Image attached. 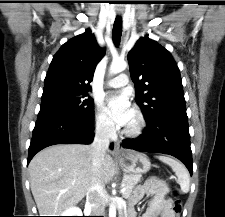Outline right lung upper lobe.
I'll use <instances>...</instances> for the list:
<instances>
[{
  "instance_id": "1",
  "label": "right lung upper lobe",
  "mask_w": 225,
  "mask_h": 217,
  "mask_svg": "<svg viewBox=\"0 0 225 217\" xmlns=\"http://www.w3.org/2000/svg\"><path fill=\"white\" fill-rule=\"evenodd\" d=\"M105 54L90 30L61 46L54 55L44 80L43 94L53 91L86 93L98 62Z\"/></svg>"
}]
</instances>
